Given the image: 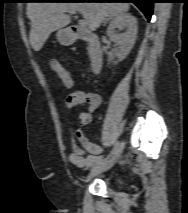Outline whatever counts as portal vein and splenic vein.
<instances>
[{
	"instance_id": "18ae733b",
	"label": "portal vein and splenic vein",
	"mask_w": 188,
	"mask_h": 213,
	"mask_svg": "<svg viewBox=\"0 0 188 213\" xmlns=\"http://www.w3.org/2000/svg\"><path fill=\"white\" fill-rule=\"evenodd\" d=\"M79 25H80L81 27H86L87 23H86L85 20H79Z\"/></svg>"
}]
</instances>
